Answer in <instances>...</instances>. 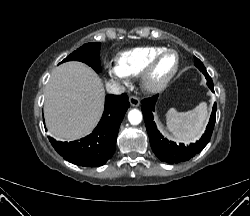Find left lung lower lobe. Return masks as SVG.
<instances>
[{
    "instance_id": "left-lung-lower-lobe-1",
    "label": "left lung lower lobe",
    "mask_w": 250,
    "mask_h": 216,
    "mask_svg": "<svg viewBox=\"0 0 250 216\" xmlns=\"http://www.w3.org/2000/svg\"><path fill=\"white\" fill-rule=\"evenodd\" d=\"M202 73L205 75V78L207 79L208 87L212 92H214V87L211 77L209 76L206 70H203ZM157 99L158 95H155L153 97L141 101L142 103L141 110L143 112L146 129L150 139V145L153 152L161 161L171 164L184 162L191 159L207 145V143L211 138L216 118V103H214L209 123L201 139L197 141L195 144H190L189 146H185L184 144L181 143L180 145H177L175 142L169 141L168 139L162 136L159 130H157L156 124L153 121V111Z\"/></svg>"
}]
</instances>
